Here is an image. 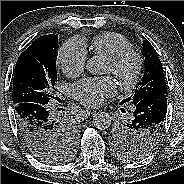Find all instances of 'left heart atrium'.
I'll return each mask as SVG.
<instances>
[{"mask_svg": "<svg viewBox=\"0 0 184 184\" xmlns=\"http://www.w3.org/2000/svg\"><path fill=\"white\" fill-rule=\"evenodd\" d=\"M116 90V83L110 77L85 78L71 87L73 97L89 107L101 105L104 98L113 96Z\"/></svg>", "mask_w": 184, "mask_h": 184, "instance_id": "obj_1", "label": "left heart atrium"}]
</instances>
